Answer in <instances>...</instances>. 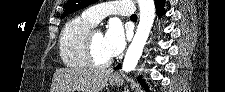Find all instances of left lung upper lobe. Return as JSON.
<instances>
[{
	"mask_svg": "<svg viewBox=\"0 0 225 92\" xmlns=\"http://www.w3.org/2000/svg\"><path fill=\"white\" fill-rule=\"evenodd\" d=\"M98 0H69L65 11L63 13L62 18L67 16L68 14L75 12L77 10H80L82 8H85L93 3H96Z\"/></svg>",
	"mask_w": 225,
	"mask_h": 92,
	"instance_id": "obj_1",
	"label": "left lung upper lobe"
}]
</instances>
